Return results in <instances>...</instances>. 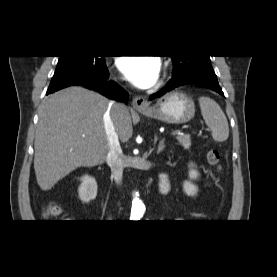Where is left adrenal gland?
Wrapping results in <instances>:
<instances>
[{"mask_svg":"<svg viewBox=\"0 0 277 277\" xmlns=\"http://www.w3.org/2000/svg\"><path fill=\"white\" fill-rule=\"evenodd\" d=\"M157 139H158L157 136H155L154 143L157 142ZM164 148H165L164 140H161L159 142L157 153L159 154L160 152H162L164 150Z\"/></svg>","mask_w":277,"mask_h":277,"instance_id":"obj_1","label":"left adrenal gland"}]
</instances>
